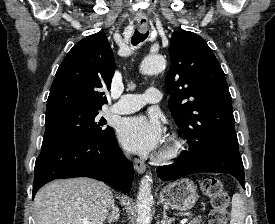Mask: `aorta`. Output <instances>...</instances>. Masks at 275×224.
<instances>
[{
	"mask_svg": "<svg viewBox=\"0 0 275 224\" xmlns=\"http://www.w3.org/2000/svg\"><path fill=\"white\" fill-rule=\"evenodd\" d=\"M166 66V60L161 55H149L141 63V71L144 74H153L162 71ZM152 178L145 175L139 186L137 195V218L136 224H151V202L153 200L151 192Z\"/></svg>",
	"mask_w": 275,
	"mask_h": 224,
	"instance_id": "1",
	"label": "aorta"
}]
</instances>
